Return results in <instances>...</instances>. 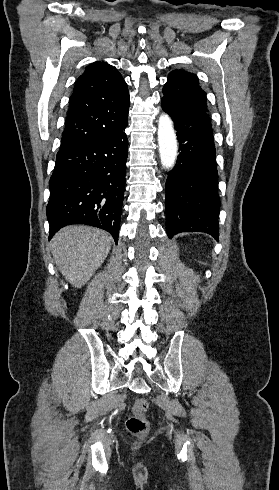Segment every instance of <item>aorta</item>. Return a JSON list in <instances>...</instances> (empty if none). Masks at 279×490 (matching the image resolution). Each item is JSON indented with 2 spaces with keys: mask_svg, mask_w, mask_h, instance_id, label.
<instances>
[{
  "mask_svg": "<svg viewBox=\"0 0 279 490\" xmlns=\"http://www.w3.org/2000/svg\"><path fill=\"white\" fill-rule=\"evenodd\" d=\"M158 145L161 164L171 169L177 156V138L169 115L162 114L158 122Z\"/></svg>",
  "mask_w": 279,
  "mask_h": 490,
  "instance_id": "1",
  "label": "aorta"
}]
</instances>
